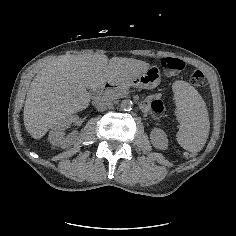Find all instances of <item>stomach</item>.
Instances as JSON below:
<instances>
[{
  "label": "stomach",
  "instance_id": "0dacf381",
  "mask_svg": "<svg viewBox=\"0 0 236 236\" xmlns=\"http://www.w3.org/2000/svg\"><path fill=\"white\" fill-rule=\"evenodd\" d=\"M125 81L126 83H131L132 85L137 87H141L144 89H153L157 87L161 82V74L157 66H151L141 72L139 75ZM119 83L124 84V81Z\"/></svg>",
  "mask_w": 236,
  "mask_h": 236
}]
</instances>
